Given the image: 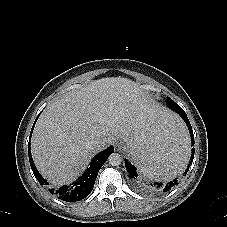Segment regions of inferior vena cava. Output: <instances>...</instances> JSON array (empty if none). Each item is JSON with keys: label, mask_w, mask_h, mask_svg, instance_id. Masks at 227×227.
I'll return each instance as SVG.
<instances>
[{"label": "inferior vena cava", "mask_w": 227, "mask_h": 227, "mask_svg": "<svg viewBox=\"0 0 227 227\" xmlns=\"http://www.w3.org/2000/svg\"><path fill=\"white\" fill-rule=\"evenodd\" d=\"M89 145L94 150L100 151L106 146V142L102 139H95V140H92Z\"/></svg>", "instance_id": "inferior-vena-cava-1"}]
</instances>
